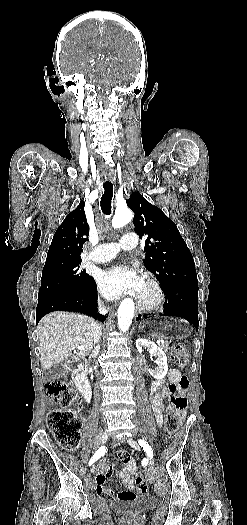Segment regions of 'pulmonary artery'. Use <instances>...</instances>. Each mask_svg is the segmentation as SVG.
Segmentation results:
<instances>
[{
	"mask_svg": "<svg viewBox=\"0 0 247 525\" xmlns=\"http://www.w3.org/2000/svg\"><path fill=\"white\" fill-rule=\"evenodd\" d=\"M141 240L139 236H134V232H127L121 236L118 242L105 243L98 248H90L88 250L89 260L97 264L104 262L110 263L113 257L119 254L120 249H134L139 246Z\"/></svg>",
	"mask_w": 247,
	"mask_h": 525,
	"instance_id": "obj_1",
	"label": "pulmonary artery"
}]
</instances>
